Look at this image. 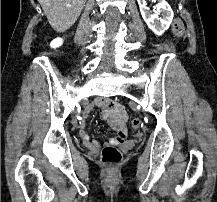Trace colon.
Masks as SVG:
<instances>
[{
    "mask_svg": "<svg viewBox=\"0 0 217 202\" xmlns=\"http://www.w3.org/2000/svg\"><path fill=\"white\" fill-rule=\"evenodd\" d=\"M173 33L177 37H183L185 33V27H184V22L181 18H176L173 24ZM140 125V120L135 118L131 120L130 123V131L133 133V135H138V127ZM101 159L102 161L110 166L114 167L118 165L121 160H122V154L120 150L115 147V146H106L103 148L102 153H101Z\"/></svg>",
    "mask_w": 217,
    "mask_h": 202,
    "instance_id": "colon-1",
    "label": "colon"
}]
</instances>
